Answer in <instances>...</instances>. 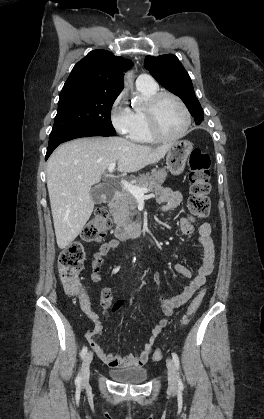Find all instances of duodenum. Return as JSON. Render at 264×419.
Instances as JSON below:
<instances>
[{
	"mask_svg": "<svg viewBox=\"0 0 264 419\" xmlns=\"http://www.w3.org/2000/svg\"><path fill=\"white\" fill-rule=\"evenodd\" d=\"M119 193L113 190L107 197V204L111 206L117 199ZM144 233V226L141 222L117 223L114 229V235L120 240H126L141 236Z\"/></svg>",
	"mask_w": 264,
	"mask_h": 419,
	"instance_id": "410a0bca",
	"label": "duodenum"
}]
</instances>
